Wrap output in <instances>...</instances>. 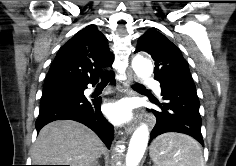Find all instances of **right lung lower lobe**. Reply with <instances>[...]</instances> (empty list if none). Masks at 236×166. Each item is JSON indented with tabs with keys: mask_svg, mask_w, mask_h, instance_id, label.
<instances>
[{
	"mask_svg": "<svg viewBox=\"0 0 236 166\" xmlns=\"http://www.w3.org/2000/svg\"><path fill=\"white\" fill-rule=\"evenodd\" d=\"M104 76L112 80L111 84H115L114 72L108 71ZM97 82L98 78L91 81L60 79L45 82L35 124L37 132L52 121L70 119L88 126L110 148L114 128L100 110L101 99L88 100L84 95L87 85Z\"/></svg>",
	"mask_w": 236,
	"mask_h": 166,
	"instance_id": "98d812e1",
	"label": "right lung lower lobe"
}]
</instances>
